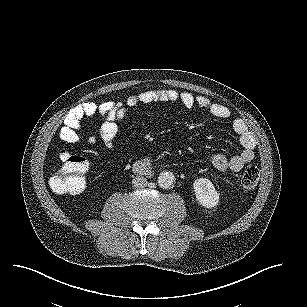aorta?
<instances>
[{
    "label": "aorta",
    "mask_w": 307,
    "mask_h": 307,
    "mask_svg": "<svg viewBox=\"0 0 307 307\" xmlns=\"http://www.w3.org/2000/svg\"><path fill=\"white\" fill-rule=\"evenodd\" d=\"M175 182V176L170 171H164L159 174L157 183L162 189H170Z\"/></svg>",
    "instance_id": "obj_1"
}]
</instances>
